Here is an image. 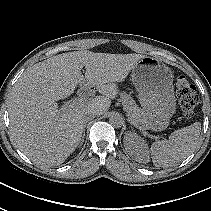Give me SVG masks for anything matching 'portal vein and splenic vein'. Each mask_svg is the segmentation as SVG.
<instances>
[{
	"mask_svg": "<svg viewBox=\"0 0 211 211\" xmlns=\"http://www.w3.org/2000/svg\"><path fill=\"white\" fill-rule=\"evenodd\" d=\"M85 101H86V98H85V97H80V98H78V99H75V100H73V101H70V102L64 104V105L62 106V109L74 108V107H76V106H78V105H82ZM127 117H128V116H127ZM128 120H129V118H128ZM129 121H130V120H129Z\"/></svg>",
	"mask_w": 211,
	"mask_h": 211,
	"instance_id": "18ae733b",
	"label": "portal vein and splenic vein"
}]
</instances>
